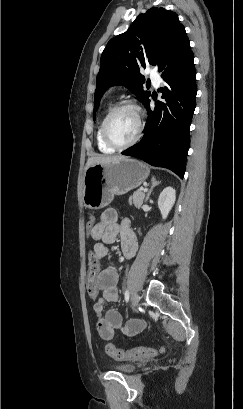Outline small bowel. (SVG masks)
<instances>
[{
	"mask_svg": "<svg viewBox=\"0 0 243 409\" xmlns=\"http://www.w3.org/2000/svg\"><path fill=\"white\" fill-rule=\"evenodd\" d=\"M90 234L96 244L94 253L89 258L87 287L103 292L93 305L98 334L107 341L113 339L114 332L118 329L126 334H136L143 329V322L133 321L124 325L119 311L115 309L104 310L106 303H114L118 300V273L112 265L103 269L99 268V260L110 256L107 245L114 243L118 235L121 240L122 255L126 259L133 258L137 251L136 236L127 219L118 221V214L114 209H107L101 214L100 221ZM93 268H96L95 273L92 272Z\"/></svg>",
	"mask_w": 243,
	"mask_h": 409,
	"instance_id": "obj_1",
	"label": "small bowel"
}]
</instances>
